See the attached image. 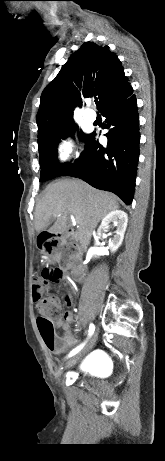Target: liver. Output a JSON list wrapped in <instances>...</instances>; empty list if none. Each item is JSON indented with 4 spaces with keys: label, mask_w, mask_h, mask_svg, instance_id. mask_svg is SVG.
Returning <instances> with one entry per match:
<instances>
[{
    "label": "liver",
    "mask_w": 165,
    "mask_h": 461,
    "mask_svg": "<svg viewBox=\"0 0 165 461\" xmlns=\"http://www.w3.org/2000/svg\"><path fill=\"white\" fill-rule=\"evenodd\" d=\"M118 208L117 198L113 194L96 190L80 180L62 179L49 184L36 205L35 229L40 233L55 218L49 233L66 234L86 247L100 220ZM69 215L77 224L75 232L68 231Z\"/></svg>",
    "instance_id": "6515ba94"
}]
</instances>
